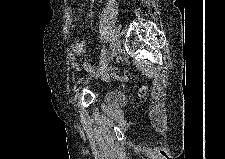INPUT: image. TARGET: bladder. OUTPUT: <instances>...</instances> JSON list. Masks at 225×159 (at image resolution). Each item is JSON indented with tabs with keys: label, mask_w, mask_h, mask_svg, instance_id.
<instances>
[{
	"label": "bladder",
	"mask_w": 225,
	"mask_h": 159,
	"mask_svg": "<svg viewBox=\"0 0 225 159\" xmlns=\"http://www.w3.org/2000/svg\"><path fill=\"white\" fill-rule=\"evenodd\" d=\"M105 103L111 106H121L124 104V98L117 92H109L105 97Z\"/></svg>",
	"instance_id": "bladder-1"
}]
</instances>
